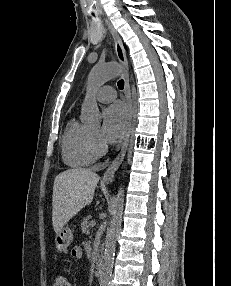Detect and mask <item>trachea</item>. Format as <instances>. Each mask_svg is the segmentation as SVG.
Instances as JSON below:
<instances>
[{
  "instance_id": "3493384b",
  "label": "trachea",
  "mask_w": 231,
  "mask_h": 286,
  "mask_svg": "<svg viewBox=\"0 0 231 286\" xmlns=\"http://www.w3.org/2000/svg\"><path fill=\"white\" fill-rule=\"evenodd\" d=\"M117 85H118V88H119L120 90H123V88H124V81H123L122 79L119 80L118 83H117Z\"/></svg>"
}]
</instances>
